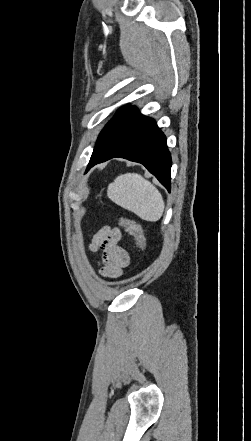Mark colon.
<instances>
[{"mask_svg":"<svg viewBox=\"0 0 251 441\" xmlns=\"http://www.w3.org/2000/svg\"><path fill=\"white\" fill-rule=\"evenodd\" d=\"M119 223L134 238L140 250L145 252L147 249V243L141 226L134 220L125 216L119 217Z\"/></svg>","mask_w":251,"mask_h":441,"instance_id":"5ec220e1","label":"colon"}]
</instances>
